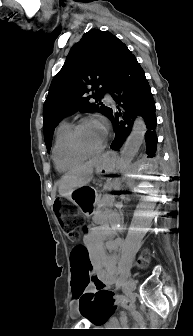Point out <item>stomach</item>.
Instances as JSON below:
<instances>
[{
  "instance_id": "0dacf381",
  "label": "stomach",
  "mask_w": 193,
  "mask_h": 336,
  "mask_svg": "<svg viewBox=\"0 0 193 336\" xmlns=\"http://www.w3.org/2000/svg\"><path fill=\"white\" fill-rule=\"evenodd\" d=\"M115 162V154L108 152L104 154L102 161L95 166V170L99 174H109L114 171ZM69 198L83 213L89 215L92 213L93 207L96 204L97 194L92 188L83 186L75 189Z\"/></svg>"
}]
</instances>
